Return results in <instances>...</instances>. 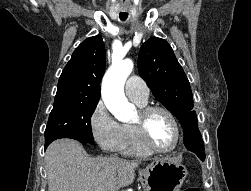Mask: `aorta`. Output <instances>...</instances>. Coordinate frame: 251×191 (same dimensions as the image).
Listing matches in <instances>:
<instances>
[{
    "mask_svg": "<svg viewBox=\"0 0 251 191\" xmlns=\"http://www.w3.org/2000/svg\"><path fill=\"white\" fill-rule=\"evenodd\" d=\"M133 70L132 60H122L113 54L111 68L107 70L102 82V97L106 107L119 121H127L134 115V105L124 94L125 82Z\"/></svg>",
    "mask_w": 251,
    "mask_h": 191,
    "instance_id": "obj_1",
    "label": "aorta"
}]
</instances>
